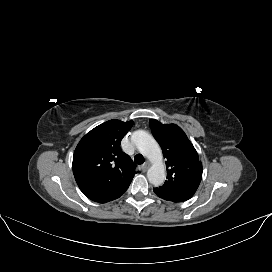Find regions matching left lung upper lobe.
I'll return each instance as SVG.
<instances>
[{
  "label": "left lung upper lobe",
  "instance_id": "5c2ea615",
  "mask_svg": "<svg viewBox=\"0 0 272 272\" xmlns=\"http://www.w3.org/2000/svg\"><path fill=\"white\" fill-rule=\"evenodd\" d=\"M149 124L167 159V180L156 189L190 199L202 178V164L194 146L175 124H162L155 119H150Z\"/></svg>",
  "mask_w": 272,
  "mask_h": 272
}]
</instances>
